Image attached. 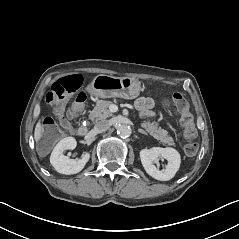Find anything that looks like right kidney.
Instances as JSON below:
<instances>
[{"mask_svg": "<svg viewBox=\"0 0 239 239\" xmlns=\"http://www.w3.org/2000/svg\"><path fill=\"white\" fill-rule=\"evenodd\" d=\"M76 139L74 137H66L62 139L53 149L50 162L55 170L64 175L77 174L83 170L85 165L89 162L91 153L86 151L77 160L70 159L64 156V151L67 149H74L76 147Z\"/></svg>", "mask_w": 239, "mask_h": 239, "instance_id": "obj_1", "label": "right kidney"}]
</instances>
